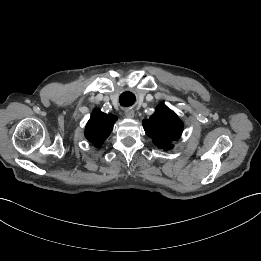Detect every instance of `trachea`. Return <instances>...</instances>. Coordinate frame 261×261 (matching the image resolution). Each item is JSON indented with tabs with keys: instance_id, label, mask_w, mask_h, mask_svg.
Masks as SVG:
<instances>
[{
	"instance_id": "3493384b",
	"label": "trachea",
	"mask_w": 261,
	"mask_h": 261,
	"mask_svg": "<svg viewBox=\"0 0 261 261\" xmlns=\"http://www.w3.org/2000/svg\"><path fill=\"white\" fill-rule=\"evenodd\" d=\"M135 102V95L131 92H124L120 96V104L122 106H131Z\"/></svg>"
}]
</instances>
